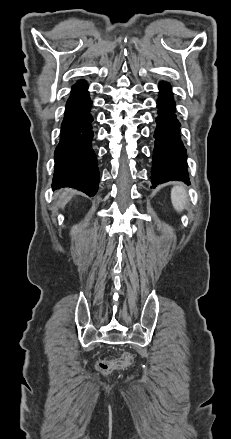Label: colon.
I'll list each match as a JSON object with an SVG mask.
<instances>
[{"instance_id": "colon-1", "label": "colon", "mask_w": 231, "mask_h": 439, "mask_svg": "<svg viewBox=\"0 0 231 439\" xmlns=\"http://www.w3.org/2000/svg\"><path fill=\"white\" fill-rule=\"evenodd\" d=\"M132 363H133L132 354L129 352H125L119 358L102 360L98 362L97 369L104 374H108L114 370L127 368Z\"/></svg>"}]
</instances>
